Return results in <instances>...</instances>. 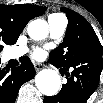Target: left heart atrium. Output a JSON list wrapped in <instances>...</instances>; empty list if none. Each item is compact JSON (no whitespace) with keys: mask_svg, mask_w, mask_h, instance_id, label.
Here are the masks:
<instances>
[{"mask_svg":"<svg viewBox=\"0 0 103 103\" xmlns=\"http://www.w3.org/2000/svg\"><path fill=\"white\" fill-rule=\"evenodd\" d=\"M35 58H40L42 56V51L41 50H36L34 53Z\"/></svg>","mask_w":103,"mask_h":103,"instance_id":"39dd6f15","label":"left heart atrium"}]
</instances>
